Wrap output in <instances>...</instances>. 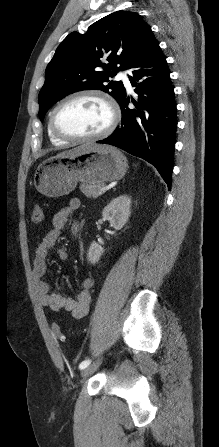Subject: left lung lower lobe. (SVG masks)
Masks as SVG:
<instances>
[{
  "instance_id": "1",
  "label": "left lung lower lobe",
  "mask_w": 219,
  "mask_h": 447,
  "mask_svg": "<svg viewBox=\"0 0 219 447\" xmlns=\"http://www.w3.org/2000/svg\"><path fill=\"white\" fill-rule=\"evenodd\" d=\"M129 80L139 95V105L129 109L126 93L119 105L121 125L97 143L119 147L156 167L171 187L176 134V102L166 57L152 34L132 59ZM140 81V82H139Z\"/></svg>"
}]
</instances>
